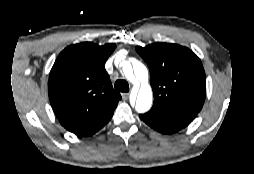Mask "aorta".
<instances>
[{"mask_svg":"<svg viewBox=\"0 0 254 174\" xmlns=\"http://www.w3.org/2000/svg\"><path fill=\"white\" fill-rule=\"evenodd\" d=\"M122 70L128 80H138L141 83L135 109L139 113L147 112L152 106L153 93L148 83V70L146 66L139 61H134L132 65L130 62H125L122 66Z\"/></svg>","mask_w":254,"mask_h":174,"instance_id":"aorta-1","label":"aorta"}]
</instances>
